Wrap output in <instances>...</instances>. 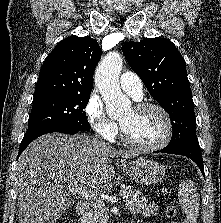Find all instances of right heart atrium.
<instances>
[{
	"mask_svg": "<svg viewBox=\"0 0 221 223\" xmlns=\"http://www.w3.org/2000/svg\"><path fill=\"white\" fill-rule=\"evenodd\" d=\"M86 118L93 130L102 138L113 139L118 133L117 124L107 117L102 101L90 95L84 108Z\"/></svg>",
	"mask_w": 221,
	"mask_h": 223,
	"instance_id": "right-heart-atrium-1",
	"label": "right heart atrium"
}]
</instances>
